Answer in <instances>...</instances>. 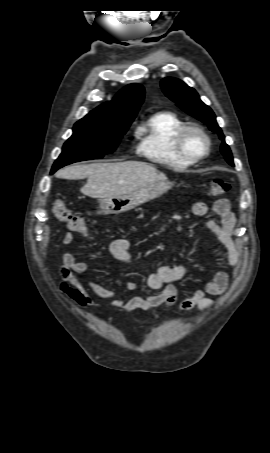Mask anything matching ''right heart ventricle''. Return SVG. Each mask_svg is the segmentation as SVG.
<instances>
[{"label": "right heart ventricle", "mask_w": 270, "mask_h": 453, "mask_svg": "<svg viewBox=\"0 0 270 453\" xmlns=\"http://www.w3.org/2000/svg\"><path fill=\"white\" fill-rule=\"evenodd\" d=\"M184 122L171 111L151 115L138 129V152L149 161L176 169L192 166L194 162L180 156L174 147V137Z\"/></svg>", "instance_id": "1"}]
</instances>
